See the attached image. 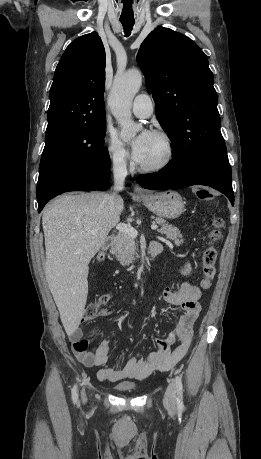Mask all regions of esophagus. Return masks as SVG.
Returning <instances> with one entry per match:
<instances>
[{
    "label": "esophagus",
    "mask_w": 261,
    "mask_h": 459,
    "mask_svg": "<svg viewBox=\"0 0 261 459\" xmlns=\"http://www.w3.org/2000/svg\"><path fill=\"white\" fill-rule=\"evenodd\" d=\"M134 191L137 195L139 196H144L146 195V191L139 185H135Z\"/></svg>",
    "instance_id": "esophagus-1"
}]
</instances>
